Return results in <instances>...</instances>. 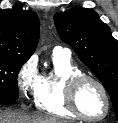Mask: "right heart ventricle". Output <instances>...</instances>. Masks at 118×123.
I'll return each mask as SVG.
<instances>
[{"instance_id":"1","label":"right heart ventricle","mask_w":118,"mask_h":123,"mask_svg":"<svg viewBox=\"0 0 118 123\" xmlns=\"http://www.w3.org/2000/svg\"><path fill=\"white\" fill-rule=\"evenodd\" d=\"M53 69L40 75L34 95L38 110L55 117L77 118L65 101V82L82 71L67 57L52 56Z\"/></svg>"}]
</instances>
